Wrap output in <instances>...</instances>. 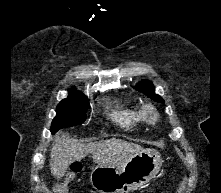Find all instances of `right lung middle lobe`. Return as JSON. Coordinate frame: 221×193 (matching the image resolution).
Returning <instances> with one entry per match:
<instances>
[{
	"label": "right lung middle lobe",
	"mask_w": 221,
	"mask_h": 193,
	"mask_svg": "<svg viewBox=\"0 0 221 193\" xmlns=\"http://www.w3.org/2000/svg\"><path fill=\"white\" fill-rule=\"evenodd\" d=\"M88 107V99L77 90L70 89L68 98L63 99L56 108L57 116L52 121L51 132L83 123Z\"/></svg>",
	"instance_id": "obj_1"
}]
</instances>
